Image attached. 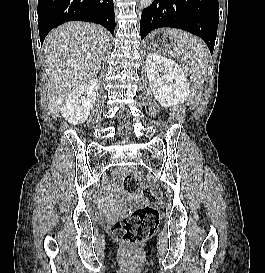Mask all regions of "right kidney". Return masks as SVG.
<instances>
[{
  "label": "right kidney",
  "mask_w": 265,
  "mask_h": 273,
  "mask_svg": "<svg viewBox=\"0 0 265 273\" xmlns=\"http://www.w3.org/2000/svg\"><path fill=\"white\" fill-rule=\"evenodd\" d=\"M98 87L96 79H91L76 87L61 108L62 116L74 125L85 122L93 108Z\"/></svg>",
  "instance_id": "right-kidney-1"
}]
</instances>
